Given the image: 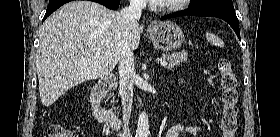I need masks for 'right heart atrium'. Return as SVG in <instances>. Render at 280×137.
Masks as SVG:
<instances>
[{"mask_svg": "<svg viewBox=\"0 0 280 137\" xmlns=\"http://www.w3.org/2000/svg\"><path fill=\"white\" fill-rule=\"evenodd\" d=\"M138 3H139L140 5H142V4H143V1H138Z\"/></svg>", "mask_w": 280, "mask_h": 137, "instance_id": "d8ad5b80", "label": "right heart atrium"}]
</instances>
